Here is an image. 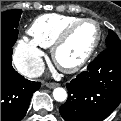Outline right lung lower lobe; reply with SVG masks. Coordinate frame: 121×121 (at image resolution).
I'll list each match as a JSON object with an SVG mask.
<instances>
[{
  "instance_id": "1",
  "label": "right lung lower lobe",
  "mask_w": 121,
  "mask_h": 121,
  "mask_svg": "<svg viewBox=\"0 0 121 121\" xmlns=\"http://www.w3.org/2000/svg\"><path fill=\"white\" fill-rule=\"evenodd\" d=\"M12 47L1 46V121L24 118L40 82L25 79L12 67Z\"/></svg>"
}]
</instances>
